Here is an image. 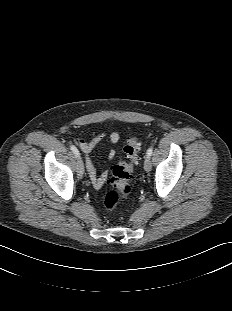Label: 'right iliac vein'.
<instances>
[{"instance_id": "obj_1", "label": "right iliac vein", "mask_w": 232, "mask_h": 311, "mask_svg": "<svg viewBox=\"0 0 232 311\" xmlns=\"http://www.w3.org/2000/svg\"><path fill=\"white\" fill-rule=\"evenodd\" d=\"M77 172L80 176H83L84 174V163L80 156L78 157V162H77Z\"/></svg>"}]
</instances>
